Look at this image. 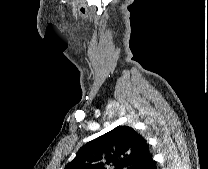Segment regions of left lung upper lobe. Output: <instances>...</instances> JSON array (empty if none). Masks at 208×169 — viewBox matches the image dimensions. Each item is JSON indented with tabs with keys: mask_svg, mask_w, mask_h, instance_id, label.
<instances>
[{
	"mask_svg": "<svg viewBox=\"0 0 208 169\" xmlns=\"http://www.w3.org/2000/svg\"><path fill=\"white\" fill-rule=\"evenodd\" d=\"M148 153L141 135L131 127L118 126L82 146L65 169H141Z\"/></svg>",
	"mask_w": 208,
	"mask_h": 169,
	"instance_id": "5c2ea615",
	"label": "left lung upper lobe"
}]
</instances>
